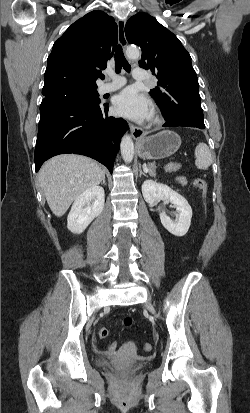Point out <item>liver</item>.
Returning a JSON list of instances; mask_svg holds the SVG:
<instances>
[{
    "label": "liver",
    "mask_w": 250,
    "mask_h": 413,
    "mask_svg": "<svg viewBox=\"0 0 250 413\" xmlns=\"http://www.w3.org/2000/svg\"><path fill=\"white\" fill-rule=\"evenodd\" d=\"M104 177L96 161L74 154L51 158L38 174L47 203L57 217L63 216L81 193L99 185Z\"/></svg>",
    "instance_id": "6515ba94"
}]
</instances>
